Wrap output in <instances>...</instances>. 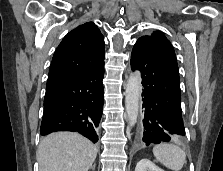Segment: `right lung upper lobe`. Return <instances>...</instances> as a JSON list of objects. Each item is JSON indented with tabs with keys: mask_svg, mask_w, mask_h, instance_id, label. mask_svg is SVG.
I'll return each instance as SVG.
<instances>
[{
	"mask_svg": "<svg viewBox=\"0 0 223 171\" xmlns=\"http://www.w3.org/2000/svg\"><path fill=\"white\" fill-rule=\"evenodd\" d=\"M104 37L93 22L69 32L56 49L47 86L82 77L104 64Z\"/></svg>",
	"mask_w": 223,
	"mask_h": 171,
	"instance_id": "obj_1",
	"label": "right lung upper lobe"
}]
</instances>
